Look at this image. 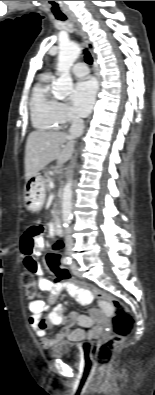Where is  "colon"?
<instances>
[{
    "label": "colon",
    "instance_id": "colon-1",
    "mask_svg": "<svg viewBox=\"0 0 155 395\" xmlns=\"http://www.w3.org/2000/svg\"><path fill=\"white\" fill-rule=\"evenodd\" d=\"M59 244H53L52 249H47L46 254L44 255V262H47V267H50L51 272L53 273L54 277H57L58 274L60 275V279L58 283H61L63 287L64 283H71L80 285L81 288H87L88 292L95 294L98 296L103 302L106 304H112V336L109 339H106L100 342L95 350V359L100 368H107L124 341V339L131 333L134 318L132 313L126 307V305L107 294L104 293L103 289L96 287L95 285H89L88 281H82L80 278H71V272H62L61 267L58 262L57 251H62L63 240H58ZM31 259H26V272L22 275V283L25 289L26 297L32 301L38 298L40 292V284L39 281L35 278V275L29 269L31 265Z\"/></svg>",
    "mask_w": 155,
    "mask_h": 395
}]
</instances>
